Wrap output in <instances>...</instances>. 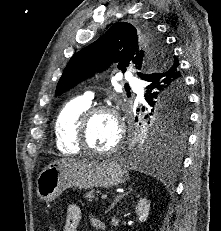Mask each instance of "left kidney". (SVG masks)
I'll return each mask as SVG.
<instances>
[{
	"instance_id": "5707ae66",
	"label": "left kidney",
	"mask_w": 221,
	"mask_h": 231,
	"mask_svg": "<svg viewBox=\"0 0 221 231\" xmlns=\"http://www.w3.org/2000/svg\"><path fill=\"white\" fill-rule=\"evenodd\" d=\"M150 210V203L147 199H140L137 206L135 207V212L137 214V218L140 222H145L148 218Z\"/></svg>"
}]
</instances>
